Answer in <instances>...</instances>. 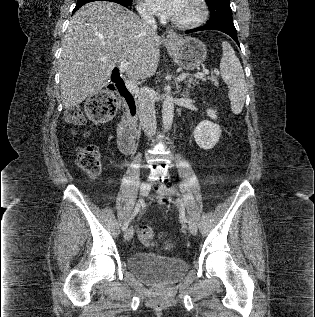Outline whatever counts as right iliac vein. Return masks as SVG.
<instances>
[{
	"mask_svg": "<svg viewBox=\"0 0 315 317\" xmlns=\"http://www.w3.org/2000/svg\"><path fill=\"white\" fill-rule=\"evenodd\" d=\"M150 189H151V184L150 182L146 181V182H142L141 186H140V195L141 197H145L149 194L150 192ZM133 237V228L132 227H129L125 234H124V238L125 240L129 241L131 240Z\"/></svg>",
	"mask_w": 315,
	"mask_h": 317,
	"instance_id": "1",
	"label": "right iliac vein"
}]
</instances>
